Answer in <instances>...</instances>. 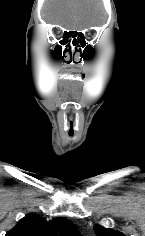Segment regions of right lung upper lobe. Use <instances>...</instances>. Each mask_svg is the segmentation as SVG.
Returning <instances> with one entry per match:
<instances>
[{"label":"right lung upper lobe","mask_w":145,"mask_h":236,"mask_svg":"<svg viewBox=\"0 0 145 236\" xmlns=\"http://www.w3.org/2000/svg\"><path fill=\"white\" fill-rule=\"evenodd\" d=\"M6 236H80L73 223L65 218L46 221L37 214L26 215Z\"/></svg>","instance_id":"cb5924a9"}]
</instances>
